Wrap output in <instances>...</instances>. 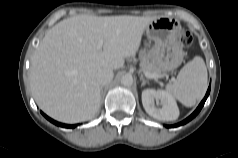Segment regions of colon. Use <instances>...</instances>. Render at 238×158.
<instances>
[{
  "label": "colon",
  "mask_w": 238,
  "mask_h": 158,
  "mask_svg": "<svg viewBox=\"0 0 238 158\" xmlns=\"http://www.w3.org/2000/svg\"><path fill=\"white\" fill-rule=\"evenodd\" d=\"M179 39L181 44L185 47L190 46L192 43V36L187 31H181Z\"/></svg>",
  "instance_id": "obj_1"
}]
</instances>
